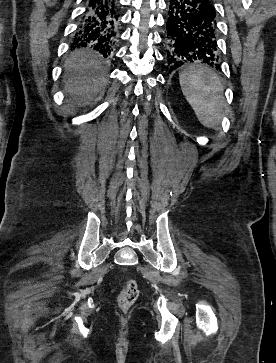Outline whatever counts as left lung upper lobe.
<instances>
[{"mask_svg":"<svg viewBox=\"0 0 276 363\" xmlns=\"http://www.w3.org/2000/svg\"><path fill=\"white\" fill-rule=\"evenodd\" d=\"M210 1V3H212V5H213V2L211 1V0H209Z\"/></svg>","mask_w":276,"mask_h":363,"instance_id":"left-lung-upper-lobe-1","label":"left lung upper lobe"}]
</instances>
